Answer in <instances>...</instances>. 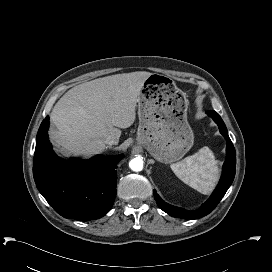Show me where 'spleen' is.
Instances as JSON below:
<instances>
[{"label":"spleen","instance_id":"spleen-1","mask_svg":"<svg viewBox=\"0 0 272 272\" xmlns=\"http://www.w3.org/2000/svg\"><path fill=\"white\" fill-rule=\"evenodd\" d=\"M171 169L181 181L205 195L212 191L218 181L217 160L208 147L171 164Z\"/></svg>","mask_w":272,"mask_h":272}]
</instances>
